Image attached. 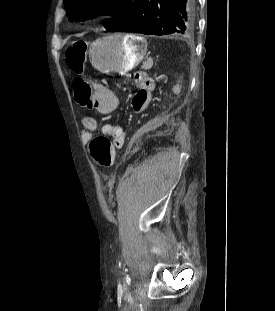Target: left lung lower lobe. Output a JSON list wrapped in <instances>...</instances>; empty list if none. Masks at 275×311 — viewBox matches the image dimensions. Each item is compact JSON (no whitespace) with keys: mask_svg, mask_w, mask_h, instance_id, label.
I'll return each instance as SVG.
<instances>
[{"mask_svg":"<svg viewBox=\"0 0 275 311\" xmlns=\"http://www.w3.org/2000/svg\"><path fill=\"white\" fill-rule=\"evenodd\" d=\"M194 7L195 0H142L136 16L117 31L158 36L187 34L194 29Z\"/></svg>","mask_w":275,"mask_h":311,"instance_id":"0a47b994","label":"left lung lower lobe"}]
</instances>
